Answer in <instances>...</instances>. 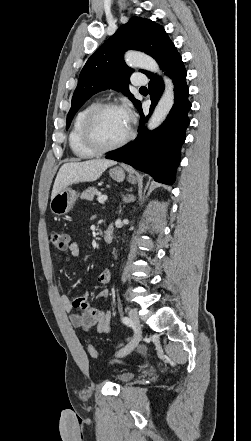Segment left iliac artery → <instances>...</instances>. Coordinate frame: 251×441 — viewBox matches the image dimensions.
I'll return each instance as SVG.
<instances>
[{"instance_id":"1","label":"left iliac artery","mask_w":251,"mask_h":441,"mask_svg":"<svg viewBox=\"0 0 251 441\" xmlns=\"http://www.w3.org/2000/svg\"><path fill=\"white\" fill-rule=\"evenodd\" d=\"M122 321H123V323L126 324L127 326H131V325H132V322H131V320H130L128 317H123V318H122Z\"/></svg>"}]
</instances>
